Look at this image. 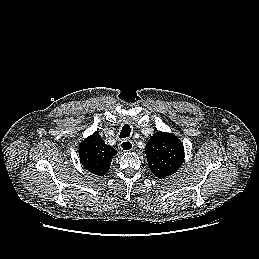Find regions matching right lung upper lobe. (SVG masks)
<instances>
[{
    "label": "right lung upper lobe",
    "mask_w": 259,
    "mask_h": 259,
    "mask_svg": "<svg viewBox=\"0 0 259 259\" xmlns=\"http://www.w3.org/2000/svg\"><path fill=\"white\" fill-rule=\"evenodd\" d=\"M115 154L116 150L105 144L98 131L86 138L79 147L81 163L85 169L98 176L108 172Z\"/></svg>",
    "instance_id": "right-lung-upper-lobe-1"
}]
</instances>
